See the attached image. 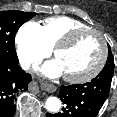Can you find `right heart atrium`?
<instances>
[{"instance_id": "d8ad5b80", "label": "right heart atrium", "mask_w": 117, "mask_h": 117, "mask_svg": "<svg viewBox=\"0 0 117 117\" xmlns=\"http://www.w3.org/2000/svg\"><path fill=\"white\" fill-rule=\"evenodd\" d=\"M15 42L19 61L25 68L37 65L51 53V48L43 39L40 25L33 21L20 27Z\"/></svg>"}]
</instances>
